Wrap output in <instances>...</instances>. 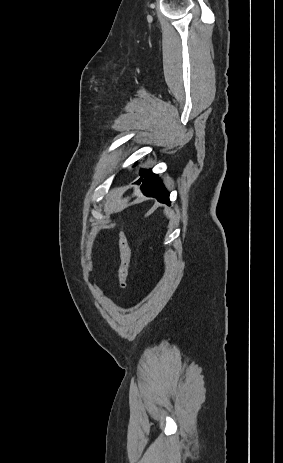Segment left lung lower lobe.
<instances>
[{
    "label": "left lung lower lobe",
    "mask_w": 283,
    "mask_h": 463,
    "mask_svg": "<svg viewBox=\"0 0 283 463\" xmlns=\"http://www.w3.org/2000/svg\"><path fill=\"white\" fill-rule=\"evenodd\" d=\"M140 175L142 177L136 183H142L141 189L146 196L155 197L161 203L170 204L169 194L155 174L151 171L141 170Z\"/></svg>",
    "instance_id": "0a47b994"
}]
</instances>
